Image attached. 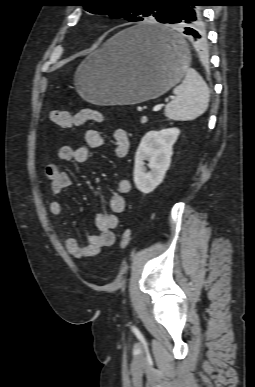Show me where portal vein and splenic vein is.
<instances>
[{
    "label": "portal vein and splenic vein",
    "mask_w": 255,
    "mask_h": 387,
    "mask_svg": "<svg viewBox=\"0 0 255 387\" xmlns=\"http://www.w3.org/2000/svg\"><path fill=\"white\" fill-rule=\"evenodd\" d=\"M161 108H162V104L155 105V106L153 107V111H154V112H157V111L161 110Z\"/></svg>",
    "instance_id": "portal-vein-and-splenic-vein-1"
}]
</instances>
